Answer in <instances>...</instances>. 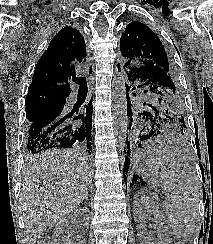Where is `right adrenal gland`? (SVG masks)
<instances>
[{
	"label": "right adrenal gland",
	"instance_id": "right-adrenal-gland-1",
	"mask_svg": "<svg viewBox=\"0 0 213 244\" xmlns=\"http://www.w3.org/2000/svg\"><path fill=\"white\" fill-rule=\"evenodd\" d=\"M86 200V201H88V188H86V191H85V195H84V198H83V200Z\"/></svg>",
	"mask_w": 213,
	"mask_h": 244
}]
</instances>
